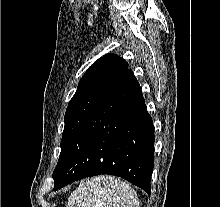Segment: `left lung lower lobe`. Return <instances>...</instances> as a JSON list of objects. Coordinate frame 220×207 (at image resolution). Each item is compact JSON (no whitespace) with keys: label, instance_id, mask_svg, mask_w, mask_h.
Instances as JSON below:
<instances>
[{"label":"left lung lower lobe","instance_id":"left-lung-lower-lobe-1","mask_svg":"<svg viewBox=\"0 0 220 207\" xmlns=\"http://www.w3.org/2000/svg\"><path fill=\"white\" fill-rule=\"evenodd\" d=\"M154 128L140 85L127 69L66 145L53 172L54 190L110 174L151 193Z\"/></svg>","mask_w":220,"mask_h":207}]
</instances>
